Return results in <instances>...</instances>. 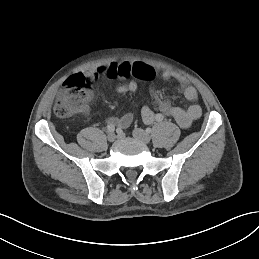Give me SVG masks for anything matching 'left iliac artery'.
<instances>
[{"instance_id":"left-iliac-artery-1","label":"left iliac artery","mask_w":259,"mask_h":259,"mask_svg":"<svg viewBox=\"0 0 259 259\" xmlns=\"http://www.w3.org/2000/svg\"><path fill=\"white\" fill-rule=\"evenodd\" d=\"M163 119H164V116L162 114H160V113L156 114L155 120L157 122H162Z\"/></svg>"}]
</instances>
